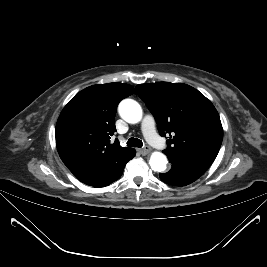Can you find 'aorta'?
<instances>
[{"label":"aorta","instance_id":"aorta-1","mask_svg":"<svg viewBox=\"0 0 267 267\" xmlns=\"http://www.w3.org/2000/svg\"><path fill=\"white\" fill-rule=\"evenodd\" d=\"M118 112L122 119L130 124H136L141 121L143 111L140 104L133 99H124L118 106ZM167 158L161 152L151 154L149 164L153 171L163 172L166 169Z\"/></svg>","mask_w":267,"mask_h":267}]
</instances>
